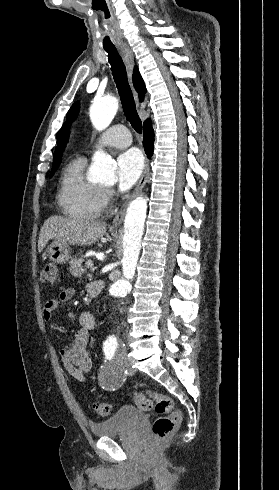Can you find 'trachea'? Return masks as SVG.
Masks as SVG:
<instances>
[{
	"mask_svg": "<svg viewBox=\"0 0 279 490\" xmlns=\"http://www.w3.org/2000/svg\"><path fill=\"white\" fill-rule=\"evenodd\" d=\"M108 53L112 75L118 88L125 116L137 133H142V122L136 111L132 91L127 80L125 65L115 47H104Z\"/></svg>",
	"mask_w": 279,
	"mask_h": 490,
	"instance_id": "trachea-1",
	"label": "trachea"
}]
</instances>
